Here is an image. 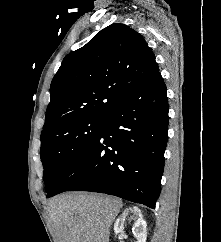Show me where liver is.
<instances>
[{
    "label": "liver",
    "instance_id": "liver-1",
    "mask_svg": "<svg viewBox=\"0 0 221 242\" xmlns=\"http://www.w3.org/2000/svg\"><path fill=\"white\" fill-rule=\"evenodd\" d=\"M118 198L66 193L48 204L54 242H109L110 227L122 208Z\"/></svg>",
    "mask_w": 221,
    "mask_h": 242
}]
</instances>
